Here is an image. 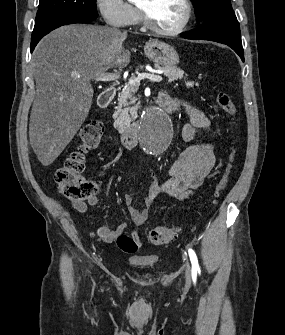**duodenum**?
Segmentation results:
<instances>
[{"mask_svg": "<svg viewBox=\"0 0 285 335\" xmlns=\"http://www.w3.org/2000/svg\"><path fill=\"white\" fill-rule=\"evenodd\" d=\"M115 95V87H109L105 89L98 98L99 106L101 108L107 107L111 103ZM159 106L168 113H172L176 109L173 103L168 99H159ZM139 128L140 124L138 122H135L128 126L126 129H124V131L121 133L120 140L126 148L132 149L137 144L139 139Z\"/></svg>", "mask_w": 285, "mask_h": 335, "instance_id": "1", "label": "duodenum"}]
</instances>
